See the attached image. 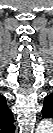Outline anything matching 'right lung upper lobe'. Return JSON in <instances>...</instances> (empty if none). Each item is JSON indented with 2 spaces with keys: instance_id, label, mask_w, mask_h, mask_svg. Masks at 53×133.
Segmentation results:
<instances>
[{
  "instance_id": "obj_1",
  "label": "right lung upper lobe",
  "mask_w": 53,
  "mask_h": 133,
  "mask_svg": "<svg viewBox=\"0 0 53 133\" xmlns=\"http://www.w3.org/2000/svg\"><path fill=\"white\" fill-rule=\"evenodd\" d=\"M0 129L6 133L15 131L12 111L8 108L3 96H0Z\"/></svg>"
}]
</instances>
